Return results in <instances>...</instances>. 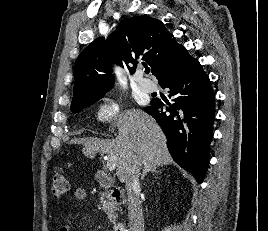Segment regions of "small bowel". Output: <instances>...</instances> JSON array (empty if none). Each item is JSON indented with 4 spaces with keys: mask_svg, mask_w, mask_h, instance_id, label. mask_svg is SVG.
I'll use <instances>...</instances> for the list:
<instances>
[{
    "mask_svg": "<svg viewBox=\"0 0 268 231\" xmlns=\"http://www.w3.org/2000/svg\"><path fill=\"white\" fill-rule=\"evenodd\" d=\"M72 193H73V198L77 201H84L86 199V196H87L86 189L82 186L75 187L73 189ZM60 231H71L70 224L64 223L61 226Z\"/></svg>",
    "mask_w": 268,
    "mask_h": 231,
    "instance_id": "1",
    "label": "small bowel"
}]
</instances>
